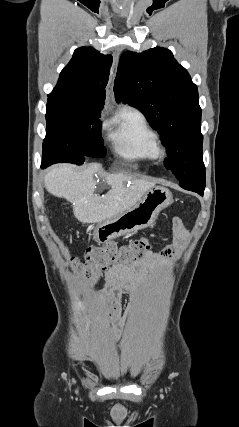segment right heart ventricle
<instances>
[{
  "mask_svg": "<svg viewBox=\"0 0 239 427\" xmlns=\"http://www.w3.org/2000/svg\"><path fill=\"white\" fill-rule=\"evenodd\" d=\"M109 138L116 154L130 164L156 158L157 134L138 109H128L117 115L110 124Z\"/></svg>",
  "mask_w": 239,
  "mask_h": 427,
  "instance_id": "obj_1",
  "label": "right heart ventricle"
}]
</instances>
